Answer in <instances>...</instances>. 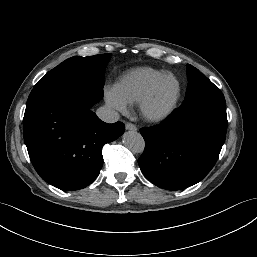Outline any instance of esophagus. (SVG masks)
I'll list each match as a JSON object with an SVG mask.
<instances>
[{"mask_svg":"<svg viewBox=\"0 0 257 257\" xmlns=\"http://www.w3.org/2000/svg\"><path fill=\"white\" fill-rule=\"evenodd\" d=\"M125 128H126V130H130V131H136L137 130V127L134 124L129 123V122L126 123Z\"/></svg>","mask_w":257,"mask_h":257,"instance_id":"1","label":"esophagus"}]
</instances>
